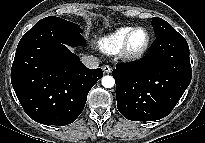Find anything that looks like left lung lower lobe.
Listing matches in <instances>:
<instances>
[{"mask_svg":"<svg viewBox=\"0 0 205 143\" xmlns=\"http://www.w3.org/2000/svg\"><path fill=\"white\" fill-rule=\"evenodd\" d=\"M117 108L128 120L155 121L169 115L192 77L189 46L176 30L157 37L146 56L133 64H118Z\"/></svg>","mask_w":205,"mask_h":143,"instance_id":"0a47b994","label":"left lung lower lobe"}]
</instances>
